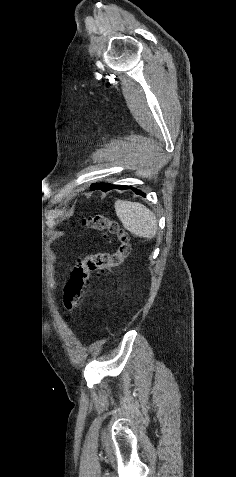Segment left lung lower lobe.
Masks as SVG:
<instances>
[{
	"label": "left lung lower lobe",
	"mask_w": 236,
	"mask_h": 477,
	"mask_svg": "<svg viewBox=\"0 0 236 477\" xmlns=\"http://www.w3.org/2000/svg\"><path fill=\"white\" fill-rule=\"evenodd\" d=\"M111 189H120V190L132 189L136 194L145 196V194H144L142 191H140V190H138V189H136V188H134V187H132V186L114 185ZM111 189H109V190H111Z\"/></svg>",
	"instance_id": "1"
}]
</instances>
